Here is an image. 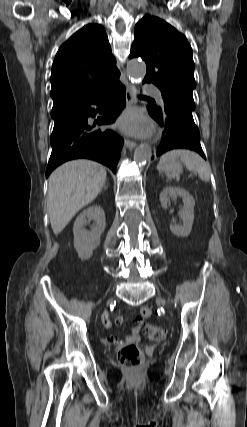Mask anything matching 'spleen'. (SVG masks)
I'll return each mask as SVG.
<instances>
[{
	"label": "spleen",
	"instance_id": "spleen-1",
	"mask_svg": "<svg viewBox=\"0 0 247 427\" xmlns=\"http://www.w3.org/2000/svg\"><path fill=\"white\" fill-rule=\"evenodd\" d=\"M177 158H180L188 170L196 171L202 181H209L211 173L210 165L206 163L197 153L190 150L178 149L165 153L160 158L159 166H162L167 162Z\"/></svg>",
	"mask_w": 247,
	"mask_h": 427
}]
</instances>
